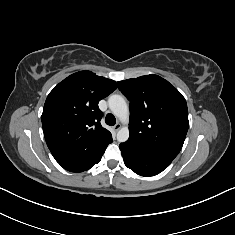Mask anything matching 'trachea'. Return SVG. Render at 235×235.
Segmentation results:
<instances>
[{
	"label": "trachea",
	"mask_w": 235,
	"mask_h": 235,
	"mask_svg": "<svg viewBox=\"0 0 235 235\" xmlns=\"http://www.w3.org/2000/svg\"><path fill=\"white\" fill-rule=\"evenodd\" d=\"M105 122L107 125L113 126L116 123V118L112 114H107L105 118Z\"/></svg>",
	"instance_id": "3493384b"
}]
</instances>
